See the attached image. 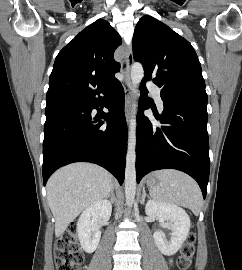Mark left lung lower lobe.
Instances as JSON below:
<instances>
[{"instance_id":"1","label":"left lung lower lobe","mask_w":242,"mask_h":270,"mask_svg":"<svg viewBox=\"0 0 242 270\" xmlns=\"http://www.w3.org/2000/svg\"><path fill=\"white\" fill-rule=\"evenodd\" d=\"M137 115L136 179L159 169H177L193 177L199 184L205 199L209 180L210 159L207 132V103L180 101L171 103L164 99V110L159 117L162 126L152 124L144 116L148 109L143 94H147L142 80Z\"/></svg>"}]
</instances>
